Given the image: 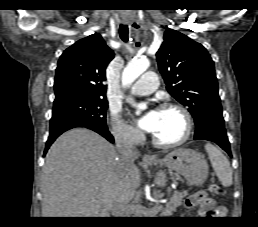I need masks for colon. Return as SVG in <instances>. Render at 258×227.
Returning a JSON list of instances; mask_svg holds the SVG:
<instances>
[{
	"label": "colon",
	"mask_w": 258,
	"mask_h": 227,
	"mask_svg": "<svg viewBox=\"0 0 258 227\" xmlns=\"http://www.w3.org/2000/svg\"><path fill=\"white\" fill-rule=\"evenodd\" d=\"M210 190L219 196H225V194H226V189L223 186L218 185V184H212L210 186Z\"/></svg>",
	"instance_id": "5ec220e1"
}]
</instances>
